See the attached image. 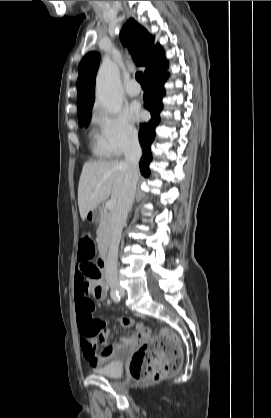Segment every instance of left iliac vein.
I'll return each instance as SVG.
<instances>
[{"label":"left iliac vein","instance_id":"obj_1","mask_svg":"<svg viewBox=\"0 0 271 418\" xmlns=\"http://www.w3.org/2000/svg\"><path fill=\"white\" fill-rule=\"evenodd\" d=\"M121 294H122V295H124V292H123V291H121Z\"/></svg>","mask_w":271,"mask_h":418}]
</instances>
